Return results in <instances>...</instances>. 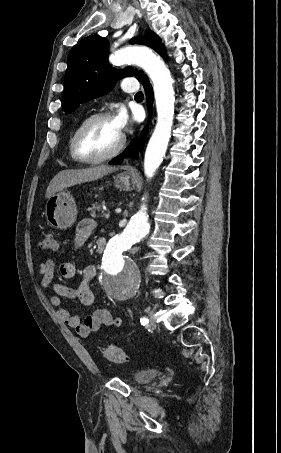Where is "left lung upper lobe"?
Segmentation results:
<instances>
[{
    "label": "left lung upper lobe",
    "mask_w": 281,
    "mask_h": 453,
    "mask_svg": "<svg viewBox=\"0 0 281 453\" xmlns=\"http://www.w3.org/2000/svg\"><path fill=\"white\" fill-rule=\"evenodd\" d=\"M153 48L159 54L164 48L161 39L152 31L144 36L131 40ZM107 39L91 35L80 40L70 51L68 67L65 73V86L62 110L71 113L80 104L107 93L116 80L133 76L142 81L143 71L131 67L124 70H115L108 64Z\"/></svg>",
    "instance_id": "left-lung-upper-lobe-1"
}]
</instances>
